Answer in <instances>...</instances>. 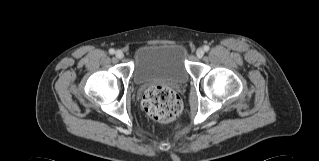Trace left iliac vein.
Returning <instances> with one entry per match:
<instances>
[{
  "label": "left iliac vein",
  "mask_w": 319,
  "mask_h": 161,
  "mask_svg": "<svg viewBox=\"0 0 319 161\" xmlns=\"http://www.w3.org/2000/svg\"><path fill=\"white\" fill-rule=\"evenodd\" d=\"M203 55H204V50H203L202 48L197 49V51H196V56H197L198 58H202Z\"/></svg>",
  "instance_id": "obj_1"
}]
</instances>
